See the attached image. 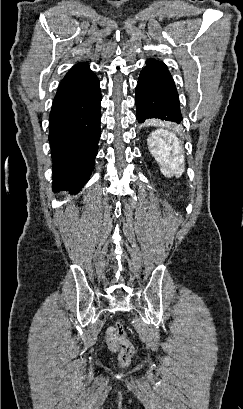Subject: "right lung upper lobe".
Wrapping results in <instances>:
<instances>
[{"label": "right lung upper lobe", "instance_id": "1", "mask_svg": "<svg viewBox=\"0 0 243 409\" xmlns=\"http://www.w3.org/2000/svg\"><path fill=\"white\" fill-rule=\"evenodd\" d=\"M88 65L85 63H78L75 66H73L70 70H79V69H83L86 68Z\"/></svg>", "mask_w": 243, "mask_h": 409}]
</instances>
